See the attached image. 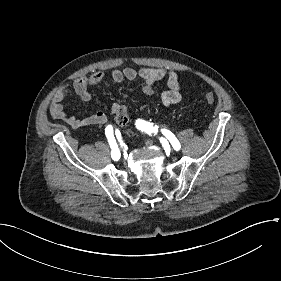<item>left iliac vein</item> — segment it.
<instances>
[{"mask_svg":"<svg viewBox=\"0 0 281 281\" xmlns=\"http://www.w3.org/2000/svg\"><path fill=\"white\" fill-rule=\"evenodd\" d=\"M165 147L170 150V145L169 144H166Z\"/></svg>","mask_w":281,"mask_h":281,"instance_id":"obj_1","label":"left iliac vein"}]
</instances>
